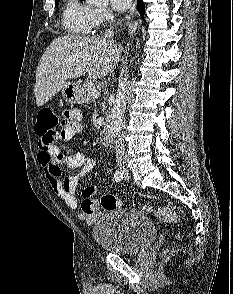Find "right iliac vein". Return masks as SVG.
I'll use <instances>...</instances> for the list:
<instances>
[{
  "instance_id": "right-iliac-vein-1",
  "label": "right iliac vein",
  "mask_w": 233,
  "mask_h": 294,
  "mask_svg": "<svg viewBox=\"0 0 233 294\" xmlns=\"http://www.w3.org/2000/svg\"><path fill=\"white\" fill-rule=\"evenodd\" d=\"M121 170L123 173H125L127 171V169L125 167H121Z\"/></svg>"
}]
</instances>
